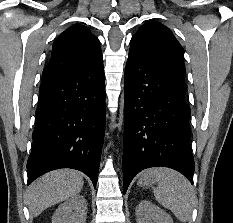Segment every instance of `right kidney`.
Masks as SVG:
<instances>
[{
	"instance_id": "ca27d5eb",
	"label": "right kidney",
	"mask_w": 233,
	"mask_h": 223,
	"mask_svg": "<svg viewBox=\"0 0 233 223\" xmlns=\"http://www.w3.org/2000/svg\"><path fill=\"white\" fill-rule=\"evenodd\" d=\"M87 215V199L83 195H72L58 205L52 223H85Z\"/></svg>"
}]
</instances>
